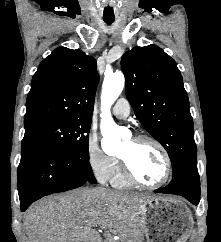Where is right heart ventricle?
Returning <instances> with one entry per match:
<instances>
[{
  "instance_id": "obj_1",
  "label": "right heart ventricle",
  "mask_w": 221,
  "mask_h": 242,
  "mask_svg": "<svg viewBox=\"0 0 221 242\" xmlns=\"http://www.w3.org/2000/svg\"><path fill=\"white\" fill-rule=\"evenodd\" d=\"M111 183L117 188H127L132 185V183L125 176L122 166L117 160L113 175L111 177Z\"/></svg>"
}]
</instances>
